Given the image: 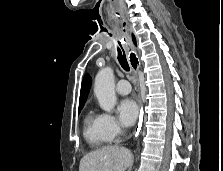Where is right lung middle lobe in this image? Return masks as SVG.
Returning <instances> with one entry per match:
<instances>
[{
  "instance_id": "dd1d6c3e",
  "label": "right lung middle lobe",
  "mask_w": 223,
  "mask_h": 171,
  "mask_svg": "<svg viewBox=\"0 0 223 171\" xmlns=\"http://www.w3.org/2000/svg\"><path fill=\"white\" fill-rule=\"evenodd\" d=\"M82 108H83V106H80L79 107L78 113H80V111H81Z\"/></svg>"
}]
</instances>
